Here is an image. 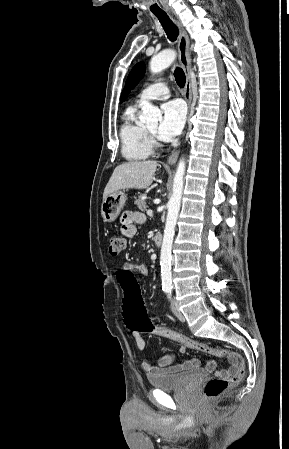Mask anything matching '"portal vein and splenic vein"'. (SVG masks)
Returning a JSON list of instances; mask_svg holds the SVG:
<instances>
[{
	"label": "portal vein and splenic vein",
	"instance_id": "18ae733b",
	"mask_svg": "<svg viewBox=\"0 0 289 449\" xmlns=\"http://www.w3.org/2000/svg\"><path fill=\"white\" fill-rule=\"evenodd\" d=\"M147 215H148V216H151V215H152V210H151V209L147 210Z\"/></svg>",
	"mask_w": 289,
	"mask_h": 449
}]
</instances>
